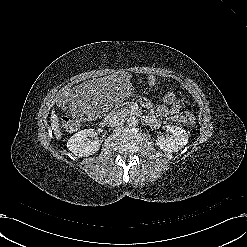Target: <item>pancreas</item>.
Instances as JSON below:
<instances>
[{
    "label": "pancreas",
    "mask_w": 247,
    "mask_h": 247,
    "mask_svg": "<svg viewBox=\"0 0 247 247\" xmlns=\"http://www.w3.org/2000/svg\"><path fill=\"white\" fill-rule=\"evenodd\" d=\"M123 111L124 112H130L131 110L129 108H124Z\"/></svg>",
    "instance_id": "obj_1"
}]
</instances>
